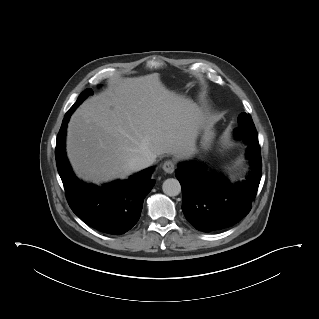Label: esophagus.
Returning a JSON list of instances; mask_svg holds the SVG:
<instances>
[{"label": "esophagus", "mask_w": 319, "mask_h": 319, "mask_svg": "<svg viewBox=\"0 0 319 319\" xmlns=\"http://www.w3.org/2000/svg\"><path fill=\"white\" fill-rule=\"evenodd\" d=\"M175 167H176V164L173 160H167L162 165V169L168 174H172L175 170Z\"/></svg>", "instance_id": "esophagus-1"}]
</instances>
